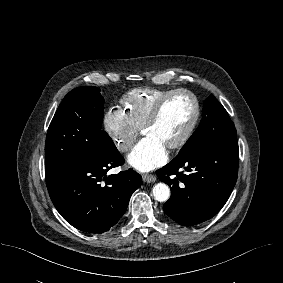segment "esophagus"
I'll list each match as a JSON object with an SVG mask.
<instances>
[{
    "label": "esophagus",
    "mask_w": 283,
    "mask_h": 283,
    "mask_svg": "<svg viewBox=\"0 0 283 283\" xmlns=\"http://www.w3.org/2000/svg\"><path fill=\"white\" fill-rule=\"evenodd\" d=\"M142 178L146 183H152L156 181V177L152 174H144Z\"/></svg>",
    "instance_id": "1"
}]
</instances>
